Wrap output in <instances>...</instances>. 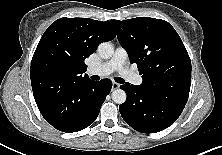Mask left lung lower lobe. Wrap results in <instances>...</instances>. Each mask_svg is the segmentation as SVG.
Masks as SVG:
<instances>
[{
    "instance_id": "obj_1",
    "label": "left lung lower lobe",
    "mask_w": 222,
    "mask_h": 155,
    "mask_svg": "<svg viewBox=\"0 0 222 155\" xmlns=\"http://www.w3.org/2000/svg\"><path fill=\"white\" fill-rule=\"evenodd\" d=\"M127 94L119 106L122 118L133 129L142 133L160 132L172 125L182 113L185 104L149 93L139 85L120 86Z\"/></svg>"
}]
</instances>
